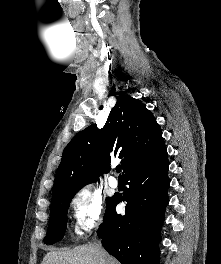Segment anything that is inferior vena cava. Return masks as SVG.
Instances as JSON below:
<instances>
[{
	"label": "inferior vena cava",
	"instance_id": "1",
	"mask_svg": "<svg viewBox=\"0 0 221 264\" xmlns=\"http://www.w3.org/2000/svg\"><path fill=\"white\" fill-rule=\"evenodd\" d=\"M100 255H104V250L102 249L101 245L98 246Z\"/></svg>",
	"mask_w": 221,
	"mask_h": 264
}]
</instances>
